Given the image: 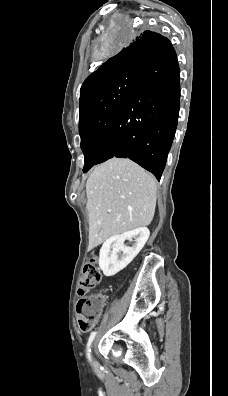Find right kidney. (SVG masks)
I'll return each instance as SVG.
<instances>
[{
	"label": "right kidney",
	"instance_id": "right-kidney-1",
	"mask_svg": "<svg viewBox=\"0 0 228 396\" xmlns=\"http://www.w3.org/2000/svg\"><path fill=\"white\" fill-rule=\"evenodd\" d=\"M149 235L148 228L140 227L108 238L99 253V267L103 274L109 277L123 270L144 247ZM133 239L132 247L124 245L126 240Z\"/></svg>",
	"mask_w": 228,
	"mask_h": 396
}]
</instances>
